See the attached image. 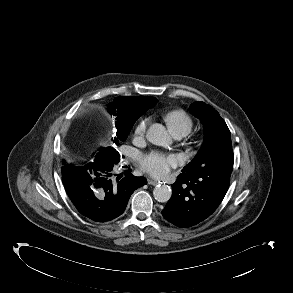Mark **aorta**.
<instances>
[{"mask_svg":"<svg viewBox=\"0 0 293 293\" xmlns=\"http://www.w3.org/2000/svg\"><path fill=\"white\" fill-rule=\"evenodd\" d=\"M146 138L154 145L168 147L172 143L166 128L159 123L152 124L146 133ZM154 198L158 202H167L172 195L171 189L167 185H158L153 190Z\"/></svg>","mask_w":293,"mask_h":293,"instance_id":"762f6f07","label":"aorta"}]
</instances>
